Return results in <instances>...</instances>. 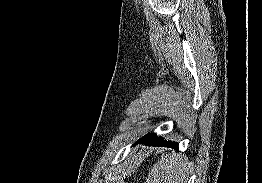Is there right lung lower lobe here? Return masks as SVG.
Returning a JSON list of instances; mask_svg holds the SVG:
<instances>
[{"label":"right lung lower lobe","instance_id":"98d812e1","mask_svg":"<svg viewBox=\"0 0 262 183\" xmlns=\"http://www.w3.org/2000/svg\"><path fill=\"white\" fill-rule=\"evenodd\" d=\"M145 143L148 146H163V147H171V148H175L178 150V143L176 142H169L164 140L161 137H157L156 134L151 133L148 134L144 137H142L141 139L138 140L137 143Z\"/></svg>","mask_w":262,"mask_h":183}]
</instances>
